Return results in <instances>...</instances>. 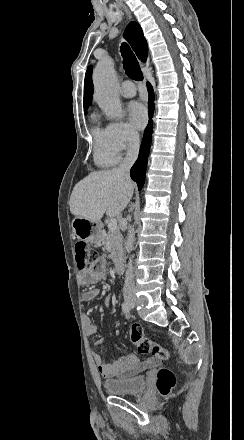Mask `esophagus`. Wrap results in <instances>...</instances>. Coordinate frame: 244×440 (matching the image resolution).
<instances>
[{
  "instance_id": "obj_1",
  "label": "esophagus",
  "mask_w": 244,
  "mask_h": 440,
  "mask_svg": "<svg viewBox=\"0 0 244 440\" xmlns=\"http://www.w3.org/2000/svg\"><path fill=\"white\" fill-rule=\"evenodd\" d=\"M125 13L128 15V17H131V12L129 11V9L127 7H124ZM145 79H147V77L145 76Z\"/></svg>"
}]
</instances>
